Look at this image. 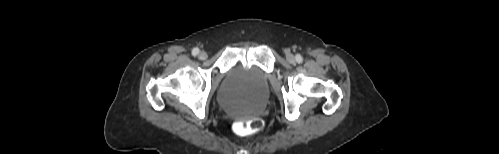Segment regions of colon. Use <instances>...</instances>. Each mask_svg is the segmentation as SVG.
<instances>
[{"instance_id": "5ec220e1", "label": "colon", "mask_w": 499, "mask_h": 154, "mask_svg": "<svg viewBox=\"0 0 499 154\" xmlns=\"http://www.w3.org/2000/svg\"><path fill=\"white\" fill-rule=\"evenodd\" d=\"M263 128L262 120L256 118L250 121H239L234 125V130L239 134H250Z\"/></svg>"}]
</instances>
